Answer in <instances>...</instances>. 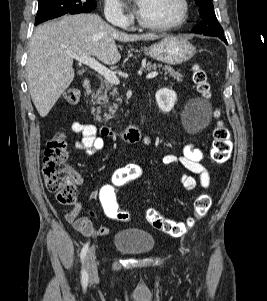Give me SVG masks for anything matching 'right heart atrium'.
<instances>
[{
	"label": "right heart atrium",
	"mask_w": 267,
	"mask_h": 301,
	"mask_svg": "<svg viewBox=\"0 0 267 301\" xmlns=\"http://www.w3.org/2000/svg\"><path fill=\"white\" fill-rule=\"evenodd\" d=\"M104 15L107 20L127 24L129 16L124 12L119 0H104Z\"/></svg>",
	"instance_id": "obj_1"
}]
</instances>
